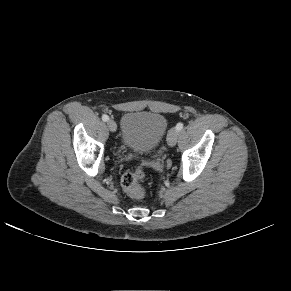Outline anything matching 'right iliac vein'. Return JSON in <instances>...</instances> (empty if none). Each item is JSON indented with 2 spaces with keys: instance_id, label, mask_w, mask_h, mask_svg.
I'll use <instances>...</instances> for the list:
<instances>
[{
  "instance_id": "right-iliac-vein-1",
  "label": "right iliac vein",
  "mask_w": 291,
  "mask_h": 291,
  "mask_svg": "<svg viewBox=\"0 0 291 291\" xmlns=\"http://www.w3.org/2000/svg\"><path fill=\"white\" fill-rule=\"evenodd\" d=\"M107 126L111 132H115L117 129V125H116L115 121H113V120H109L107 122Z\"/></svg>"
}]
</instances>
